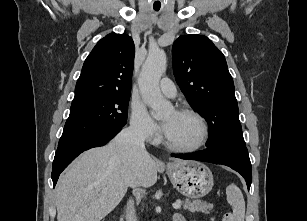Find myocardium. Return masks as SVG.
Wrapping results in <instances>:
<instances>
[{
	"mask_svg": "<svg viewBox=\"0 0 307 221\" xmlns=\"http://www.w3.org/2000/svg\"><path fill=\"white\" fill-rule=\"evenodd\" d=\"M178 113H182V114H187L190 115L192 117H194L199 125H200V129H201V134L199 139L188 146H179V145H175L173 143H171L167 137L166 134L164 135V144L167 146V148H169L170 150L174 151V152H178V153H190V152H194L199 150L201 147H203L205 145V143L208 140L209 137V127H208V123L206 121V119L204 118V116L199 113L198 111H196L195 109L192 108H180L177 110Z\"/></svg>",
	"mask_w": 307,
	"mask_h": 221,
	"instance_id": "myocardium-1",
	"label": "myocardium"
}]
</instances>
